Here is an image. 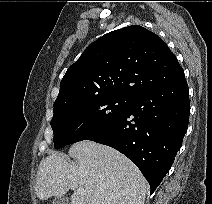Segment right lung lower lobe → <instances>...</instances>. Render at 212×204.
<instances>
[{"instance_id": "right-lung-lower-lobe-1", "label": "right lung lower lobe", "mask_w": 212, "mask_h": 204, "mask_svg": "<svg viewBox=\"0 0 212 204\" xmlns=\"http://www.w3.org/2000/svg\"><path fill=\"white\" fill-rule=\"evenodd\" d=\"M189 114V90L183 75L168 85L131 96L118 121L85 140L127 156L149 182L152 194L181 147Z\"/></svg>"}]
</instances>
